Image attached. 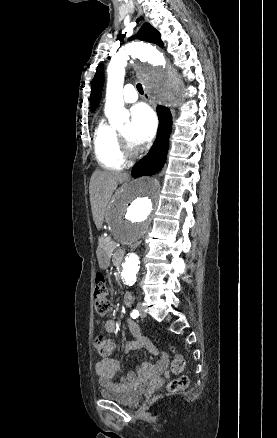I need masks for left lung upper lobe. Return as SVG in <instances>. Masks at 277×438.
Returning a JSON list of instances; mask_svg holds the SVG:
<instances>
[{
  "label": "left lung upper lobe",
  "mask_w": 277,
  "mask_h": 438,
  "mask_svg": "<svg viewBox=\"0 0 277 438\" xmlns=\"http://www.w3.org/2000/svg\"><path fill=\"white\" fill-rule=\"evenodd\" d=\"M137 38L146 41L151 42L159 45L160 47H163V42L160 38V33L149 23H145L141 29L139 30L137 34ZM133 39V38H130ZM104 83V71H103V64H99L96 70V74L91 82V111H95L96 107L99 104V100L101 97V91Z\"/></svg>",
  "instance_id": "obj_1"
}]
</instances>
